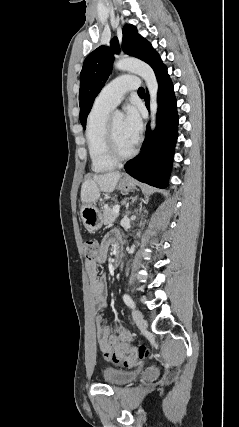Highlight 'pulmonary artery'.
Returning a JSON list of instances; mask_svg holds the SVG:
<instances>
[{
  "instance_id": "pulmonary-artery-1",
  "label": "pulmonary artery",
  "mask_w": 239,
  "mask_h": 427,
  "mask_svg": "<svg viewBox=\"0 0 239 427\" xmlns=\"http://www.w3.org/2000/svg\"><path fill=\"white\" fill-rule=\"evenodd\" d=\"M139 88V80L133 75H122L107 84L97 95L94 105L113 109L124 95Z\"/></svg>"
}]
</instances>
